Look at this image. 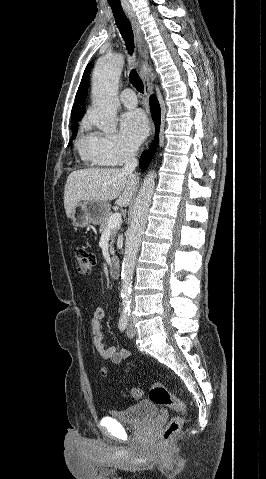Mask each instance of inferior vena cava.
I'll list each match as a JSON object with an SVG mask.
<instances>
[{"mask_svg":"<svg viewBox=\"0 0 266 479\" xmlns=\"http://www.w3.org/2000/svg\"><path fill=\"white\" fill-rule=\"evenodd\" d=\"M124 161H125V165L122 168V172L125 173V174L131 175L133 173L134 169L138 165V160L136 158V151L134 149H129L125 153Z\"/></svg>","mask_w":266,"mask_h":479,"instance_id":"inferior-vena-cava-1","label":"inferior vena cava"}]
</instances>
